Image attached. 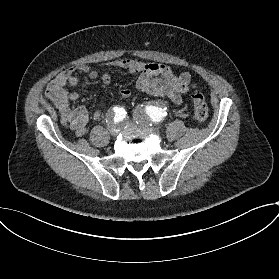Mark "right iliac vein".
<instances>
[{"label": "right iliac vein", "instance_id": "1", "mask_svg": "<svg viewBox=\"0 0 279 279\" xmlns=\"http://www.w3.org/2000/svg\"><path fill=\"white\" fill-rule=\"evenodd\" d=\"M109 131H110V134L112 136H117L118 135L117 126L114 123L110 124Z\"/></svg>", "mask_w": 279, "mask_h": 279}]
</instances>
